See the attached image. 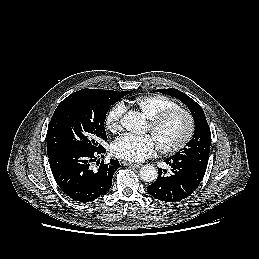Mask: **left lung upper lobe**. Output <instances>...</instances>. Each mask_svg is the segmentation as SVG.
<instances>
[{"instance_id":"5c2ea615","label":"left lung upper lobe","mask_w":259,"mask_h":259,"mask_svg":"<svg viewBox=\"0 0 259 259\" xmlns=\"http://www.w3.org/2000/svg\"><path fill=\"white\" fill-rule=\"evenodd\" d=\"M157 91L174 96L175 98L181 100L185 105L188 106L195 121L194 136L188 143V147L183 149V151L179 154H176L172 157L189 160L199 167L206 169L210 153L211 133L201 106L185 93L175 88L158 89Z\"/></svg>"}]
</instances>
